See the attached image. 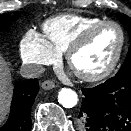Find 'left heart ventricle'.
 <instances>
[{"mask_svg":"<svg viewBox=\"0 0 131 131\" xmlns=\"http://www.w3.org/2000/svg\"><path fill=\"white\" fill-rule=\"evenodd\" d=\"M119 43L120 33L115 26L102 27L74 55L73 68L83 73H94L102 70L114 57Z\"/></svg>","mask_w":131,"mask_h":131,"instance_id":"b2bd125f","label":"left heart ventricle"}]
</instances>
